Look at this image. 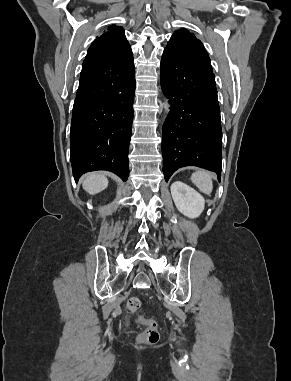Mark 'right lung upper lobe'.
<instances>
[{
  "label": "right lung upper lobe",
  "instance_id": "cb5924a9",
  "mask_svg": "<svg viewBox=\"0 0 291 381\" xmlns=\"http://www.w3.org/2000/svg\"><path fill=\"white\" fill-rule=\"evenodd\" d=\"M131 51L122 27L111 25L88 49L86 59L120 56Z\"/></svg>",
  "mask_w": 291,
  "mask_h": 381
}]
</instances>
